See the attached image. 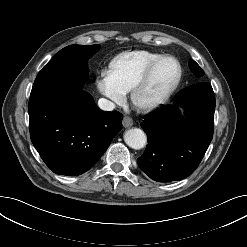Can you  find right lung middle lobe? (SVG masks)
Listing matches in <instances>:
<instances>
[{"label": "right lung middle lobe", "instance_id": "obj_1", "mask_svg": "<svg viewBox=\"0 0 247 247\" xmlns=\"http://www.w3.org/2000/svg\"><path fill=\"white\" fill-rule=\"evenodd\" d=\"M100 45H70L60 50L37 75L31 93L46 88L81 89L87 78L86 60Z\"/></svg>", "mask_w": 247, "mask_h": 247}]
</instances>
